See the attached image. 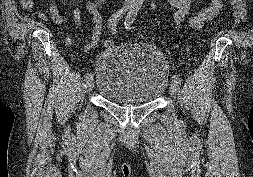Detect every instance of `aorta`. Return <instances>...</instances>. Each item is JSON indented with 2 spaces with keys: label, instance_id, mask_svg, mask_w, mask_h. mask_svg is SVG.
<instances>
[{
  "label": "aorta",
  "instance_id": "aorta-1",
  "mask_svg": "<svg viewBox=\"0 0 253 177\" xmlns=\"http://www.w3.org/2000/svg\"><path fill=\"white\" fill-rule=\"evenodd\" d=\"M133 3L139 5L142 4L145 0H131Z\"/></svg>",
  "mask_w": 253,
  "mask_h": 177
}]
</instances>
